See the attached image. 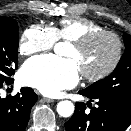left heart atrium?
<instances>
[{
    "label": "left heart atrium",
    "instance_id": "obj_1",
    "mask_svg": "<svg viewBox=\"0 0 131 131\" xmlns=\"http://www.w3.org/2000/svg\"><path fill=\"white\" fill-rule=\"evenodd\" d=\"M20 76L26 85L45 95L55 96L61 90L77 84L79 68L71 58L62 59L54 55H45L28 60Z\"/></svg>",
    "mask_w": 131,
    "mask_h": 131
}]
</instances>
